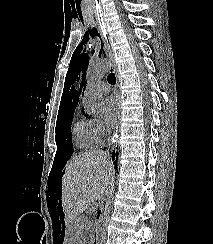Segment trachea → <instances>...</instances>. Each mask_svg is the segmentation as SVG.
Listing matches in <instances>:
<instances>
[{
  "label": "trachea",
  "mask_w": 213,
  "mask_h": 244,
  "mask_svg": "<svg viewBox=\"0 0 213 244\" xmlns=\"http://www.w3.org/2000/svg\"><path fill=\"white\" fill-rule=\"evenodd\" d=\"M108 82L111 85H114L116 83V78H115V74L114 73H110L107 77Z\"/></svg>",
  "instance_id": "trachea-1"
}]
</instances>
